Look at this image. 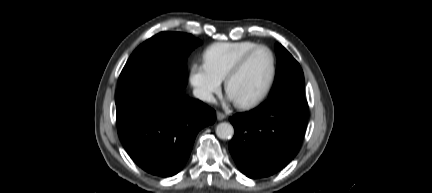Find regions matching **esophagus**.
I'll return each instance as SVG.
<instances>
[{
    "label": "esophagus",
    "instance_id": "obj_1",
    "mask_svg": "<svg viewBox=\"0 0 432 193\" xmlns=\"http://www.w3.org/2000/svg\"><path fill=\"white\" fill-rule=\"evenodd\" d=\"M216 117H217V120L221 121V120H224L226 118V115L220 111H217Z\"/></svg>",
    "mask_w": 432,
    "mask_h": 193
}]
</instances>
